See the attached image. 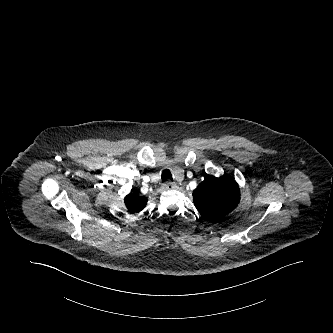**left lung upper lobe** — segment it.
<instances>
[{
    "instance_id": "1",
    "label": "left lung upper lobe",
    "mask_w": 333,
    "mask_h": 333,
    "mask_svg": "<svg viewBox=\"0 0 333 333\" xmlns=\"http://www.w3.org/2000/svg\"><path fill=\"white\" fill-rule=\"evenodd\" d=\"M193 200L203 217L217 220L237 207L240 190L236 181L230 177L216 178L206 174L204 180L193 191Z\"/></svg>"
}]
</instances>
